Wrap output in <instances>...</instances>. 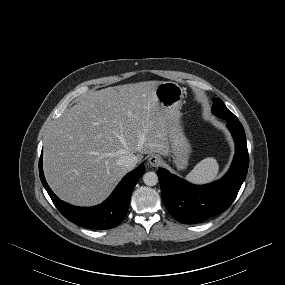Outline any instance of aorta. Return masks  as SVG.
<instances>
[{
  "label": "aorta",
  "mask_w": 285,
  "mask_h": 285,
  "mask_svg": "<svg viewBox=\"0 0 285 285\" xmlns=\"http://www.w3.org/2000/svg\"><path fill=\"white\" fill-rule=\"evenodd\" d=\"M143 182L147 186H154L158 183V176L155 172L149 171L143 175Z\"/></svg>",
  "instance_id": "obj_1"
}]
</instances>
